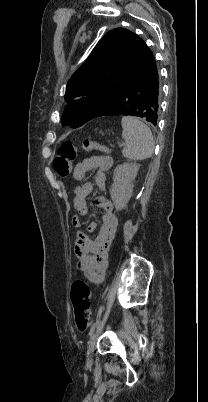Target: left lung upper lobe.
I'll return each instance as SVG.
<instances>
[{
  "mask_svg": "<svg viewBox=\"0 0 208 402\" xmlns=\"http://www.w3.org/2000/svg\"><path fill=\"white\" fill-rule=\"evenodd\" d=\"M140 46L139 38L124 28L108 32L98 42L66 86L68 125L82 126L116 99L139 65Z\"/></svg>",
  "mask_w": 208,
  "mask_h": 402,
  "instance_id": "1",
  "label": "left lung upper lobe"
}]
</instances>
